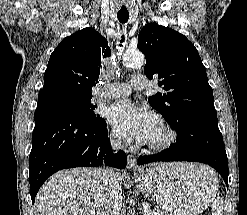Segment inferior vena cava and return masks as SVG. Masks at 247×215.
Wrapping results in <instances>:
<instances>
[{
    "mask_svg": "<svg viewBox=\"0 0 247 215\" xmlns=\"http://www.w3.org/2000/svg\"><path fill=\"white\" fill-rule=\"evenodd\" d=\"M111 145L114 152H117L121 148V142L119 140H111ZM101 179L110 187L112 192L111 197L107 201L106 215H119L122 205L121 196L118 192L120 184L119 174L113 168H105L103 169Z\"/></svg>",
    "mask_w": 247,
    "mask_h": 215,
    "instance_id": "inferior-vena-cava-1",
    "label": "inferior vena cava"
}]
</instances>
